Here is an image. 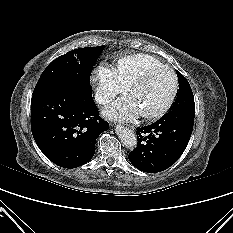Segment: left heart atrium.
Instances as JSON below:
<instances>
[{
  "label": "left heart atrium",
  "instance_id": "1",
  "mask_svg": "<svg viewBox=\"0 0 233 233\" xmlns=\"http://www.w3.org/2000/svg\"><path fill=\"white\" fill-rule=\"evenodd\" d=\"M140 113V108L132 95L118 99L105 110L107 116L120 120H132Z\"/></svg>",
  "mask_w": 233,
  "mask_h": 233
}]
</instances>
